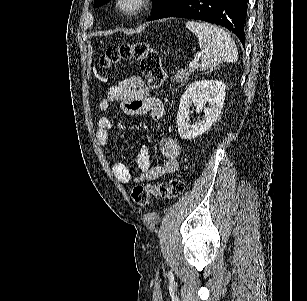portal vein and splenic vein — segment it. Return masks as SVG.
Here are the masks:
<instances>
[{"label": "portal vein and splenic vein", "instance_id": "1", "mask_svg": "<svg viewBox=\"0 0 307 301\" xmlns=\"http://www.w3.org/2000/svg\"><path fill=\"white\" fill-rule=\"evenodd\" d=\"M203 50H204V48H203ZM204 52H205V50H204ZM197 64H198L197 60H191V62H189V70H195V68H197Z\"/></svg>", "mask_w": 307, "mask_h": 301}]
</instances>
